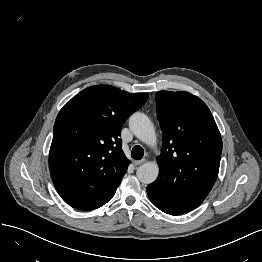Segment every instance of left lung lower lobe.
I'll return each instance as SVG.
<instances>
[{"label":"left lung lower lobe","mask_w":262,"mask_h":262,"mask_svg":"<svg viewBox=\"0 0 262 262\" xmlns=\"http://www.w3.org/2000/svg\"><path fill=\"white\" fill-rule=\"evenodd\" d=\"M149 198H150L151 202H152L158 209H160L161 211H163V212H165V213H167V214H170V215H178V214H179V213H176V212H174V211H171V210L167 209L162 203H160L159 201L153 199L152 197L149 196Z\"/></svg>","instance_id":"obj_1"}]
</instances>
